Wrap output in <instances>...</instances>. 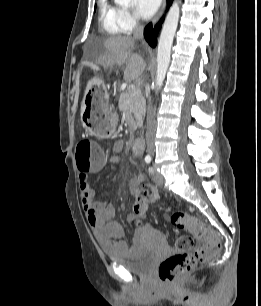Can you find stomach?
Listing matches in <instances>:
<instances>
[{"label": "stomach", "instance_id": "obj_1", "mask_svg": "<svg viewBox=\"0 0 261 306\" xmlns=\"http://www.w3.org/2000/svg\"><path fill=\"white\" fill-rule=\"evenodd\" d=\"M80 115L86 130L96 136L113 130L115 118L109 110V97L103 84L96 83L87 89L81 104Z\"/></svg>", "mask_w": 261, "mask_h": 306}]
</instances>
